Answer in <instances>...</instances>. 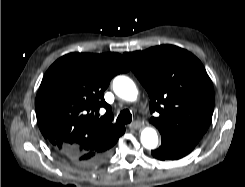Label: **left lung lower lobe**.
I'll return each mask as SVG.
<instances>
[{"mask_svg": "<svg viewBox=\"0 0 245 187\" xmlns=\"http://www.w3.org/2000/svg\"><path fill=\"white\" fill-rule=\"evenodd\" d=\"M161 133V146L152 155L159 160H178L189 154L199 142L202 133L193 131L170 132L158 129Z\"/></svg>", "mask_w": 245, "mask_h": 187, "instance_id": "left-lung-lower-lobe-1", "label": "left lung lower lobe"}]
</instances>
